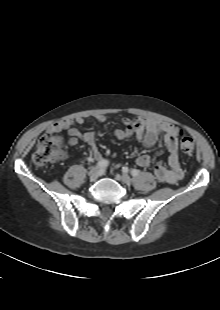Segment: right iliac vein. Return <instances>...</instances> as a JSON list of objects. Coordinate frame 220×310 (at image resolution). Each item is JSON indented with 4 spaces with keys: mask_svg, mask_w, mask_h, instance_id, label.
I'll use <instances>...</instances> for the list:
<instances>
[{
    "mask_svg": "<svg viewBox=\"0 0 220 310\" xmlns=\"http://www.w3.org/2000/svg\"><path fill=\"white\" fill-rule=\"evenodd\" d=\"M99 177V171L98 170H94L90 173V181L94 182L98 179Z\"/></svg>",
    "mask_w": 220,
    "mask_h": 310,
    "instance_id": "1",
    "label": "right iliac vein"
}]
</instances>
